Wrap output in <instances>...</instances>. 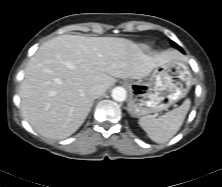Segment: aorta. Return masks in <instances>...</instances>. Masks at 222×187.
Listing matches in <instances>:
<instances>
[{
	"instance_id": "obj_1",
	"label": "aorta",
	"mask_w": 222,
	"mask_h": 187,
	"mask_svg": "<svg viewBox=\"0 0 222 187\" xmlns=\"http://www.w3.org/2000/svg\"><path fill=\"white\" fill-rule=\"evenodd\" d=\"M112 98L115 101L122 102L127 97V92L123 87H115L111 93Z\"/></svg>"
}]
</instances>
